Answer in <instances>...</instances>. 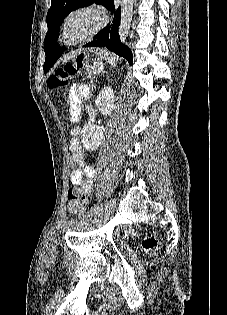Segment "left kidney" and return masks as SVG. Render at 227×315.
<instances>
[{"label": "left kidney", "instance_id": "obj_1", "mask_svg": "<svg viewBox=\"0 0 227 315\" xmlns=\"http://www.w3.org/2000/svg\"><path fill=\"white\" fill-rule=\"evenodd\" d=\"M115 96L110 86L105 87L95 99V104L101 114L109 116L114 109ZM105 128L93 124H85L82 129V143L87 150H96L101 144Z\"/></svg>", "mask_w": 227, "mask_h": 315}]
</instances>
